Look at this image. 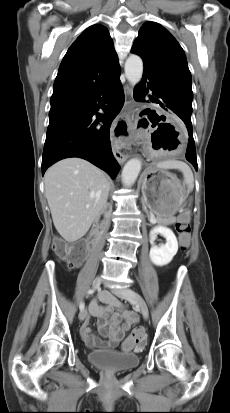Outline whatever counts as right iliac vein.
Masks as SVG:
<instances>
[{
  "instance_id": "63e3f726",
  "label": "right iliac vein",
  "mask_w": 230,
  "mask_h": 413,
  "mask_svg": "<svg viewBox=\"0 0 230 413\" xmlns=\"http://www.w3.org/2000/svg\"><path fill=\"white\" fill-rule=\"evenodd\" d=\"M101 281H102V278L100 276L96 277L92 283V288L95 290L98 289L100 287ZM86 315H87L86 309H83L82 311H80L79 320L83 321L86 318Z\"/></svg>"
}]
</instances>
